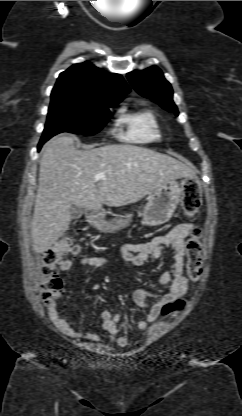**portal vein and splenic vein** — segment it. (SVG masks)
Segmentation results:
<instances>
[{"label": "portal vein and splenic vein", "mask_w": 242, "mask_h": 416, "mask_svg": "<svg viewBox=\"0 0 242 416\" xmlns=\"http://www.w3.org/2000/svg\"><path fill=\"white\" fill-rule=\"evenodd\" d=\"M94 178H95V180H105L106 179V176H105V174L104 173H102V172H100V173H97L95 176H94Z\"/></svg>", "instance_id": "portal-vein-and-splenic-vein-1"}]
</instances>
